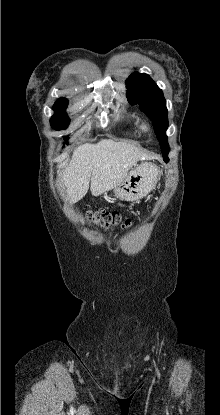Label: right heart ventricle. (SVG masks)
I'll list each match as a JSON object with an SVG mask.
<instances>
[{
	"label": "right heart ventricle",
	"mask_w": 220,
	"mask_h": 415,
	"mask_svg": "<svg viewBox=\"0 0 220 415\" xmlns=\"http://www.w3.org/2000/svg\"><path fill=\"white\" fill-rule=\"evenodd\" d=\"M136 128H138V124L137 123H132L130 125V129H136Z\"/></svg>",
	"instance_id": "obj_1"
}]
</instances>
